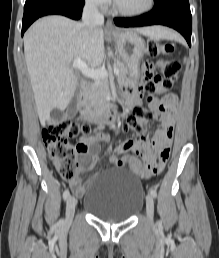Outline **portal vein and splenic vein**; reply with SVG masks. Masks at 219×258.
Wrapping results in <instances>:
<instances>
[{
	"label": "portal vein and splenic vein",
	"instance_id": "18ae733b",
	"mask_svg": "<svg viewBox=\"0 0 219 258\" xmlns=\"http://www.w3.org/2000/svg\"><path fill=\"white\" fill-rule=\"evenodd\" d=\"M73 68L79 69L81 73L87 77L94 78V79H104L108 77V72L106 69H92L89 68L84 61L80 58H76L72 64ZM114 74L119 73V69L114 67L113 69Z\"/></svg>",
	"mask_w": 219,
	"mask_h": 258
}]
</instances>
